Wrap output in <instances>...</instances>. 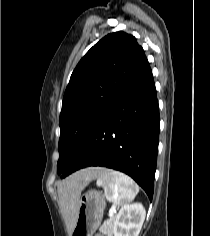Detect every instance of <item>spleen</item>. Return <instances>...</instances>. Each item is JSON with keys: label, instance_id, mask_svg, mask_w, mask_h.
I'll list each match as a JSON object with an SVG mask.
<instances>
[{"label": "spleen", "instance_id": "3e777b00", "mask_svg": "<svg viewBox=\"0 0 210 236\" xmlns=\"http://www.w3.org/2000/svg\"><path fill=\"white\" fill-rule=\"evenodd\" d=\"M97 185L104 188V195L109 202L120 206L133 201L139 192L133 179L114 170L103 171L97 179Z\"/></svg>", "mask_w": 210, "mask_h": 236}]
</instances>
